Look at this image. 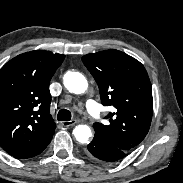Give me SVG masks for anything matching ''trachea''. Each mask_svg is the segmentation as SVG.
I'll list each match as a JSON object with an SVG mask.
<instances>
[{
	"label": "trachea",
	"instance_id": "3493384b",
	"mask_svg": "<svg viewBox=\"0 0 183 183\" xmlns=\"http://www.w3.org/2000/svg\"><path fill=\"white\" fill-rule=\"evenodd\" d=\"M72 118V114L67 109H61L57 114V119L60 121H70Z\"/></svg>",
	"mask_w": 183,
	"mask_h": 183
}]
</instances>
